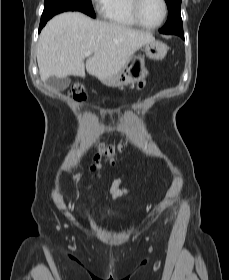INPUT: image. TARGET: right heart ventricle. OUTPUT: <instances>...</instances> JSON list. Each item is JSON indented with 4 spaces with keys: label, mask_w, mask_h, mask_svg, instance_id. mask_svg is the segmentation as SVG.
Instances as JSON below:
<instances>
[{
    "label": "right heart ventricle",
    "mask_w": 229,
    "mask_h": 280,
    "mask_svg": "<svg viewBox=\"0 0 229 280\" xmlns=\"http://www.w3.org/2000/svg\"><path fill=\"white\" fill-rule=\"evenodd\" d=\"M131 0H108L102 16L104 20L114 26L122 28H136L139 25L132 17Z\"/></svg>",
    "instance_id": "obj_1"
}]
</instances>
